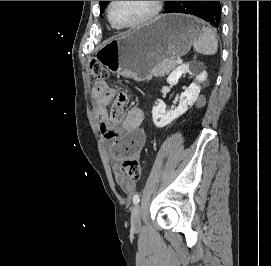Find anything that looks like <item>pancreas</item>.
<instances>
[{
    "label": "pancreas",
    "instance_id": "1",
    "mask_svg": "<svg viewBox=\"0 0 271 266\" xmlns=\"http://www.w3.org/2000/svg\"><path fill=\"white\" fill-rule=\"evenodd\" d=\"M176 60H163L159 62L152 70V75L155 77H163L165 74H169L172 69L176 67Z\"/></svg>",
    "mask_w": 271,
    "mask_h": 266
}]
</instances>
